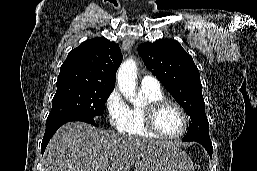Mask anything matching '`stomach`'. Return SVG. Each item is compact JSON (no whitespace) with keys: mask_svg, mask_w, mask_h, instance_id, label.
Masks as SVG:
<instances>
[{"mask_svg":"<svg viewBox=\"0 0 257 171\" xmlns=\"http://www.w3.org/2000/svg\"><path fill=\"white\" fill-rule=\"evenodd\" d=\"M134 171H194L190 157L178 146L157 144L141 152Z\"/></svg>","mask_w":257,"mask_h":171,"instance_id":"obj_1","label":"stomach"}]
</instances>
